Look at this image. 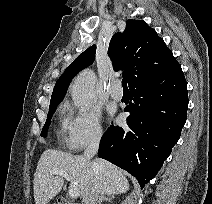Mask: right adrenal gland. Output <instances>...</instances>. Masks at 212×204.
Instances as JSON below:
<instances>
[{"mask_svg": "<svg viewBox=\"0 0 212 204\" xmlns=\"http://www.w3.org/2000/svg\"><path fill=\"white\" fill-rule=\"evenodd\" d=\"M113 199V195H101L99 197L98 204H101L103 201L112 202Z\"/></svg>", "mask_w": 212, "mask_h": 204, "instance_id": "1", "label": "right adrenal gland"}]
</instances>
